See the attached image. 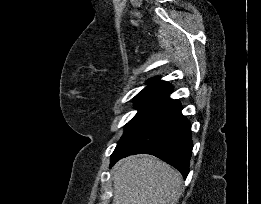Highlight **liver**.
Returning a JSON list of instances; mask_svg holds the SVG:
<instances>
[{
  "instance_id": "liver-1",
  "label": "liver",
  "mask_w": 261,
  "mask_h": 204,
  "mask_svg": "<svg viewBox=\"0 0 261 204\" xmlns=\"http://www.w3.org/2000/svg\"><path fill=\"white\" fill-rule=\"evenodd\" d=\"M112 204H170L181 193L178 171L154 156H129L113 167Z\"/></svg>"
}]
</instances>
